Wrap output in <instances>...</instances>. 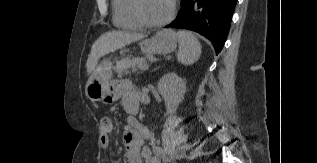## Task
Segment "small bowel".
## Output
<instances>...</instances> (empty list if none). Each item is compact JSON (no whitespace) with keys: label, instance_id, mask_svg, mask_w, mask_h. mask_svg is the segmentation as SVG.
<instances>
[{"label":"small bowel","instance_id":"small-bowel-1","mask_svg":"<svg viewBox=\"0 0 317 163\" xmlns=\"http://www.w3.org/2000/svg\"><path fill=\"white\" fill-rule=\"evenodd\" d=\"M141 98L140 93L128 82H122L114 86L112 99H120L123 109L129 114L123 136L125 146L124 163H160L159 151L151 144L152 135L150 131L142 126L134 116L139 109ZM100 129V147L108 149L111 145L112 121L109 118L103 119ZM144 141L150 142V145L144 146Z\"/></svg>","mask_w":317,"mask_h":163}]
</instances>
